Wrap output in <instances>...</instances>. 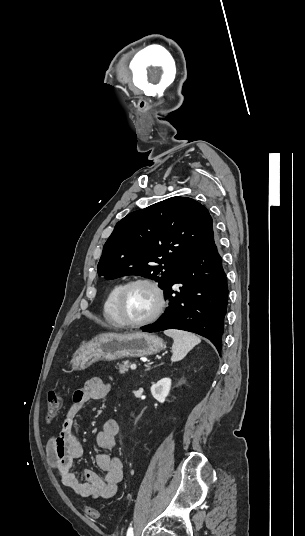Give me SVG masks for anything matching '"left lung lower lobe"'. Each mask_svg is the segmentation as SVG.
I'll use <instances>...</instances> for the list:
<instances>
[{"mask_svg": "<svg viewBox=\"0 0 305 536\" xmlns=\"http://www.w3.org/2000/svg\"><path fill=\"white\" fill-rule=\"evenodd\" d=\"M179 283V291H173ZM228 285L214 235L177 272L165 287L169 307L144 332L181 329L209 339L221 353V340L227 310Z\"/></svg>", "mask_w": 305, "mask_h": 536, "instance_id": "1", "label": "left lung lower lobe"}]
</instances>
